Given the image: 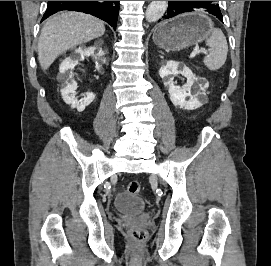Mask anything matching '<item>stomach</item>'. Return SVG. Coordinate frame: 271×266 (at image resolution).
<instances>
[{"label": "stomach", "instance_id": "stomach-1", "mask_svg": "<svg viewBox=\"0 0 271 266\" xmlns=\"http://www.w3.org/2000/svg\"><path fill=\"white\" fill-rule=\"evenodd\" d=\"M212 29V22L203 13H186L157 25L153 41L166 51H178L202 42L209 37Z\"/></svg>", "mask_w": 271, "mask_h": 266}]
</instances>
